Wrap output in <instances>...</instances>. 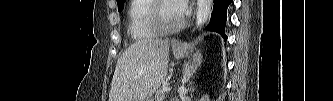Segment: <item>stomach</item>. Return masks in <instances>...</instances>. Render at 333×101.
Returning a JSON list of instances; mask_svg holds the SVG:
<instances>
[{
	"label": "stomach",
	"mask_w": 333,
	"mask_h": 101,
	"mask_svg": "<svg viewBox=\"0 0 333 101\" xmlns=\"http://www.w3.org/2000/svg\"><path fill=\"white\" fill-rule=\"evenodd\" d=\"M190 48V45L187 43H184L181 46L172 45L173 54L176 59H180L188 55Z\"/></svg>",
	"instance_id": "1"
}]
</instances>
